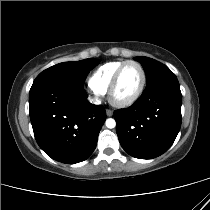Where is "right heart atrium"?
Listing matches in <instances>:
<instances>
[{"label":"right heart atrium","mask_w":210,"mask_h":210,"mask_svg":"<svg viewBox=\"0 0 210 210\" xmlns=\"http://www.w3.org/2000/svg\"><path fill=\"white\" fill-rule=\"evenodd\" d=\"M91 92L98 97L100 95V93H98L97 91H95L93 88L90 87Z\"/></svg>","instance_id":"right-heart-atrium-1"}]
</instances>
